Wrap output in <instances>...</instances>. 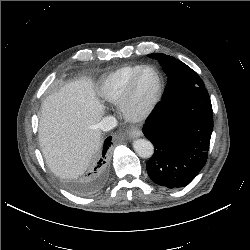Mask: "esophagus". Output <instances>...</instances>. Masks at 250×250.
<instances>
[{"label": "esophagus", "mask_w": 250, "mask_h": 250, "mask_svg": "<svg viewBox=\"0 0 250 250\" xmlns=\"http://www.w3.org/2000/svg\"><path fill=\"white\" fill-rule=\"evenodd\" d=\"M127 135L129 138H137L142 136V132L140 130H130Z\"/></svg>", "instance_id": "esophagus-1"}]
</instances>
